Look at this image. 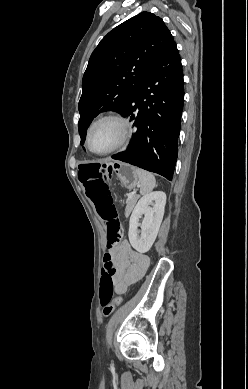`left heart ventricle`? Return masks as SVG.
<instances>
[{"mask_svg":"<svg viewBox=\"0 0 248 389\" xmlns=\"http://www.w3.org/2000/svg\"><path fill=\"white\" fill-rule=\"evenodd\" d=\"M120 136L119 126L113 121H104L98 124L91 137V146L94 150L102 151L112 146Z\"/></svg>","mask_w":248,"mask_h":389,"instance_id":"b2bd125f","label":"left heart ventricle"}]
</instances>
